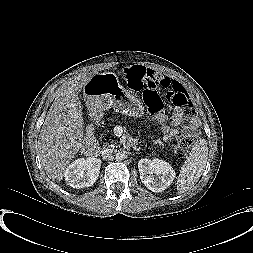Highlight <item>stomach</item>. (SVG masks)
Wrapping results in <instances>:
<instances>
[{"instance_id": "stomach-1", "label": "stomach", "mask_w": 253, "mask_h": 253, "mask_svg": "<svg viewBox=\"0 0 253 253\" xmlns=\"http://www.w3.org/2000/svg\"><path fill=\"white\" fill-rule=\"evenodd\" d=\"M86 103L95 110L113 108L115 111L139 117L142 103L132 94H126L111 73L95 74L83 87Z\"/></svg>"}]
</instances>
